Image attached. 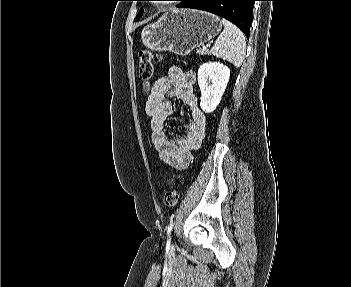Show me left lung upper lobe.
<instances>
[{
  "label": "left lung upper lobe",
  "instance_id": "5c2ea615",
  "mask_svg": "<svg viewBox=\"0 0 351 287\" xmlns=\"http://www.w3.org/2000/svg\"><path fill=\"white\" fill-rule=\"evenodd\" d=\"M177 1H181V0H177ZM143 15V9H141V11L139 12V14L137 15V18H140Z\"/></svg>",
  "mask_w": 351,
  "mask_h": 287
}]
</instances>
